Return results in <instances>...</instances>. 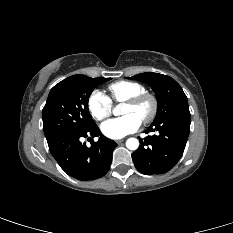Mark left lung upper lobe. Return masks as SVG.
<instances>
[{"label":"left lung upper lobe","instance_id":"1","mask_svg":"<svg viewBox=\"0 0 233 233\" xmlns=\"http://www.w3.org/2000/svg\"><path fill=\"white\" fill-rule=\"evenodd\" d=\"M128 78L142 81L154 90L157 97L158 108L153 123L179 110L189 108L187 97L182 88L169 76L148 72Z\"/></svg>","mask_w":233,"mask_h":233}]
</instances>
